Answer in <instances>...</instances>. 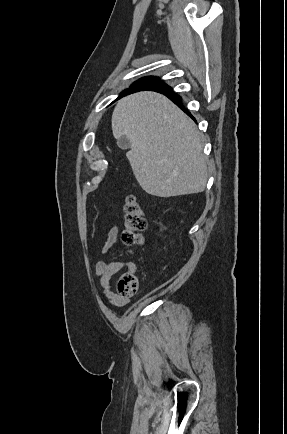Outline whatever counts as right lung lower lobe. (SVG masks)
I'll use <instances>...</instances> for the list:
<instances>
[{
    "label": "right lung lower lobe",
    "instance_id": "obj_1",
    "mask_svg": "<svg viewBox=\"0 0 287 434\" xmlns=\"http://www.w3.org/2000/svg\"><path fill=\"white\" fill-rule=\"evenodd\" d=\"M159 93H162L164 95H166L169 99H171L176 105H178L184 112H186L188 115H190V113L183 107L182 103H181V97L178 96L177 94H175L172 90L171 87H169L168 85L165 86L162 90L156 91Z\"/></svg>",
    "mask_w": 287,
    "mask_h": 434
}]
</instances>
